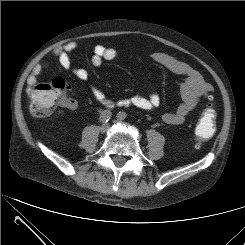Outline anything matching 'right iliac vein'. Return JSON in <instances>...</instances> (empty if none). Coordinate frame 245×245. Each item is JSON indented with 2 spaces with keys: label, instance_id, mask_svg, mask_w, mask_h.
<instances>
[{
  "label": "right iliac vein",
  "instance_id": "obj_1",
  "mask_svg": "<svg viewBox=\"0 0 245 245\" xmlns=\"http://www.w3.org/2000/svg\"><path fill=\"white\" fill-rule=\"evenodd\" d=\"M108 129H109V124H107V123H104V124L100 127V131H101L102 133H106V132L108 131Z\"/></svg>",
  "mask_w": 245,
  "mask_h": 245
}]
</instances>
